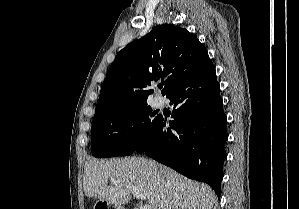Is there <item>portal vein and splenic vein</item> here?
<instances>
[{
	"instance_id": "obj_1",
	"label": "portal vein and splenic vein",
	"mask_w": 299,
	"mask_h": 209,
	"mask_svg": "<svg viewBox=\"0 0 299 209\" xmlns=\"http://www.w3.org/2000/svg\"><path fill=\"white\" fill-rule=\"evenodd\" d=\"M111 183L117 184L118 181L117 180H111ZM131 192L136 198H138L140 200H145L144 196L138 190H135V189L131 188ZM141 209H151V206L149 204H145Z\"/></svg>"
}]
</instances>
